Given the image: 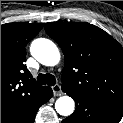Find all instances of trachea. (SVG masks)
Returning a JSON list of instances; mask_svg holds the SVG:
<instances>
[{"mask_svg": "<svg viewBox=\"0 0 123 123\" xmlns=\"http://www.w3.org/2000/svg\"><path fill=\"white\" fill-rule=\"evenodd\" d=\"M38 85H49L54 86L56 83V79L52 74H42L40 73L37 77Z\"/></svg>", "mask_w": 123, "mask_h": 123, "instance_id": "obj_1", "label": "trachea"}]
</instances>
